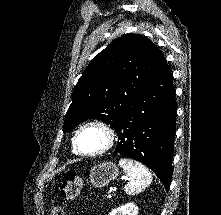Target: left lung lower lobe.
Returning a JSON list of instances; mask_svg holds the SVG:
<instances>
[{"mask_svg":"<svg viewBox=\"0 0 221 215\" xmlns=\"http://www.w3.org/2000/svg\"><path fill=\"white\" fill-rule=\"evenodd\" d=\"M176 111L172 73L165 61L115 128L120 141L113 154L145 164L167 191L171 183Z\"/></svg>","mask_w":221,"mask_h":215,"instance_id":"left-lung-lower-lobe-1","label":"left lung lower lobe"}]
</instances>
